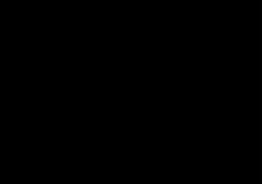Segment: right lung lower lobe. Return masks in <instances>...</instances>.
<instances>
[{
    "label": "right lung lower lobe",
    "mask_w": 262,
    "mask_h": 184,
    "mask_svg": "<svg viewBox=\"0 0 262 184\" xmlns=\"http://www.w3.org/2000/svg\"><path fill=\"white\" fill-rule=\"evenodd\" d=\"M93 97L91 94L82 96L76 92L64 90L55 91L50 95L49 111L53 124L63 139L71 143L87 144L102 141L108 135L113 122L120 115L119 113L107 114L104 117L105 122L103 124L98 122L97 127L93 129L91 126L81 123V121H85V115L80 116L76 111V105L81 107L83 104L89 103ZM111 115H113V122H110ZM90 118L91 116H89Z\"/></svg>",
    "instance_id": "obj_1"
}]
</instances>
